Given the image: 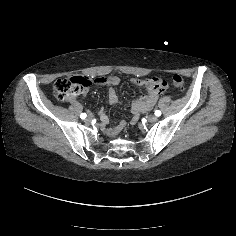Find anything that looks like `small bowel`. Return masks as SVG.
<instances>
[{
    "label": "small bowel",
    "mask_w": 236,
    "mask_h": 236,
    "mask_svg": "<svg viewBox=\"0 0 236 236\" xmlns=\"http://www.w3.org/2000/svg\"><path fill=\"white\" fill-rule=\"evenodd\" d=\"M97 81L100 82V83H103V84H106V83L116 84L118 82V79L116 77H108V78H99V79H97ZM135 83L138 84V85L149 84L148 81L145 82V81H138V80H136ZM109 100H110L111 103H117L118 102V97H117V94H116L114 89H110V91H109ZM73 102H76V101L74 100ZM154 103H155V97L149 99L146 102V104L142 108L139 109V111L142 112V111L150 109Z\"/></svg>",
    "instance_id": "small-bowel-1"
}]
</instances>
